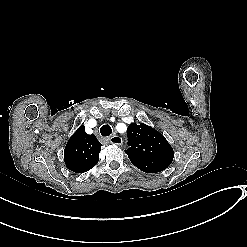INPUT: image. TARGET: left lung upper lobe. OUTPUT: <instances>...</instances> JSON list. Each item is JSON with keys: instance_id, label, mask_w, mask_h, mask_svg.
<instances>
[{"instance_id": "obj_1", "label": "left lung upper lobe", "mask_w": 247, "mask_h": 247, "mask_svg": "<svg viewBox=\"0 0 247 247\" xmlns=\"http://www.w3.org/2000/svg\"><path fill=\"white\" fill-rule=\"evenodd\" d=\"M126 150L130 161L146 173L165 170L172 162L174 152L166 138L154 128L140 123H132L127 130Z\"/></svg>"}]
</instances>
